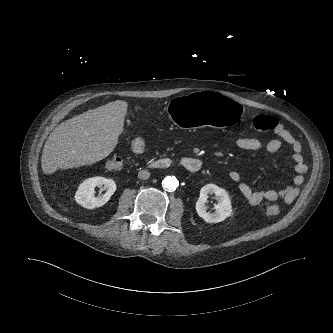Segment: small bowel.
<instances>
[{
  "label": "small bowel",
  "instance_id": "1",
  "mask_svg": "<svg viewBox=\"0 0 333 333\" xmlns=\"http://www.w3.org/2000/svg\"><path fill=\"white\" fill-rule=\"evenodd\" d=\"M273 131L277 137L268 142H263L254 137H239L236 139L235 144L238 148L245 151H266L268 153H275L280 150L283 143H286L293 151L292 163L297 174L291 185L283 190L276 191L272 189H253L247 183L241 182V175L238 171H230L228 175L229 179L234 183H238L239 192L250 205H257L263 201L277 200H283L286 204H290L298 195L299 188L303 183V176L306 173L307 168L302 157L301 143L280 122L275 121ZM128 149L132 153L143 154L147 150L146 141L142 137H137L128 144Z\"/></svg>",
  "mask_w": 333,
  "mask_h": 333
}]
</instances>
